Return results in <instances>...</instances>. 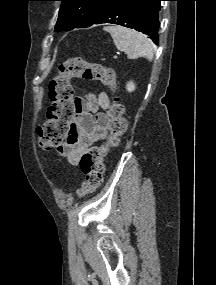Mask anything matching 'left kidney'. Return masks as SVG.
<instances>
[{"label": "left kidney", "mask_w": 216, "mask_h": 285, "mask_svg": "<svg viewBox=\"0 0 216 285\" xmlns=\"http://www.w3.org/2000/svg\"><path fill=\"white\" fill-rule=\"evenodd\" d=\"M127 91L132 92L133 90H135V84L131 81L127 84L126 86Z\"/></svg>", "instance_id": "left-kidney-1"}]
</instances>
